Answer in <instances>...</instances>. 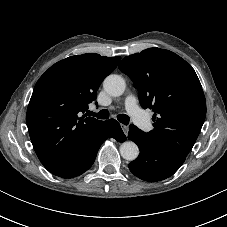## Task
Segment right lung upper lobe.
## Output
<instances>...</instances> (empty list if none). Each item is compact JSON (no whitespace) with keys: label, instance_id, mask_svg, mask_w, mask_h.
Masks as SVG:
<instances>
[{"label":"right lung upper lobe","instance_id":"1","mask_svg":"<svg viewBox=\"0 0 227 227\" xmlns=\"http://www.w3.org/2000/svg\"><path fill=\"white\" fill-rule=\"evenodd\" d=\"M120 59L95 53L70 56L37 81L26 118L34 150L48 171L65 163L104 124L85 112Z\"/></svg>","mask_w":227,"mask_h":227}]
</instances>
